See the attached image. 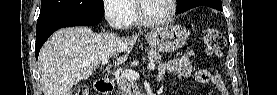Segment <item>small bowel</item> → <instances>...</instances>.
<instances>
[{
    "label": "small bowel",
    "instance_id": "obj_1",
    "mask_svg": "<svg viewBox=\"0 0 277 95\" xmlns=\"http://www.w3.org/2000/svg\"><path fill=\"white\" fill-rule=\"evenodd\" d=\"M194 54V50H190L182 57L171 59L161 64L158 68L157 77L163 79L168 73L178 77H191L198 82L211 83L218 88L220 94L227 95L228 91L221 76L204 69L192 70L191 58Z\"/></svg>",
    "mask_w": 277,
    "mask_h": 95
}]
</instances>
